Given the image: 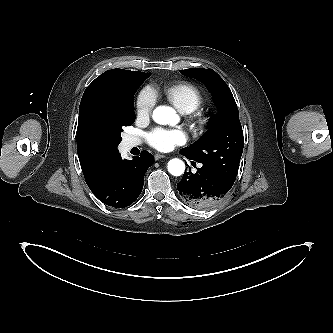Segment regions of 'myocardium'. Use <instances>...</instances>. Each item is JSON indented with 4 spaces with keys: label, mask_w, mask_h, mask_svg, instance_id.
<instances>
[{
    "label": "myocardium",
    "mask_w": 333,
    "mask_h": 333,
    "mask_svg": "<svg viewBox=\"0 0 333 333\" xmlns=\"http://www.w3.org/2000/svg\"><path fill=\"white\" fill-rule=\"evenodd\" d=\"M195 123H196L197 126L203 127L206 124V118L202 115H198L195 118Z\"/></svg>",
    "instance_id": "1"
}]
</instances>
